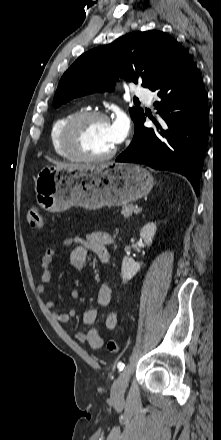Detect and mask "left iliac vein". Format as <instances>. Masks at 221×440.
<instances>
[{
    "mask_svg": "<svg viewBox=\"0 0 221 440\" xmlns=\"http://www.w3.org/2000/svg\"><path fill=\"white\" fill-rule=\"evenodd\" d=\"M129 379H130V369L127 367L120 373V375L112 385L111 398L113 400H120L124 397Z\"/></svg>",
    "mask_w": 221,
    "mask_h": 440,
    "instance_id": "obj_1",
    "label": "left iliac vein"
}]
</instances>
